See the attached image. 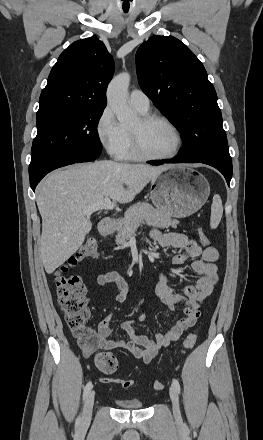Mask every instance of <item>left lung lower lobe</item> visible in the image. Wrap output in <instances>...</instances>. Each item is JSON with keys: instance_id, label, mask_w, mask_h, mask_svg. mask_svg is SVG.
<instances>
[{"instance_id": "obj_1", "label": "left lung lower lobe", "mask_w": 263, "mask_h": 440, "mask_svg": "<svg viewBox=\"0 0 263 440\" xmlns=\"http://www.w3.org/2000/svg\"><path fill=\"white\" fill-rule=\"evenodd\" d=\"M148 163L152 165H161L164 163H204L218 169L225 177L228 185H230V180L232 178V159H208L189 162L185 158L178 156L177 158L171 160L150 161Z\"/></svg>"}]
</instances>
